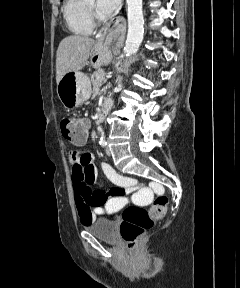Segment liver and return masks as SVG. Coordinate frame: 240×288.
Segmentation results:
<instances>
[{"label": "liver", "instance_id": "liver-1", "mask_svg": "<svg viewBox=\"0 0 240 288\" xmlns=\"http://www.w3.org/2000/svg\"><path fill=\"white\" fill-rule=\"evenodd\" d=\"M95 40L87 36L71 35L59 44L56 57L57 84L68 72H78L88 64Z\"/></svg>", "mask_w": 240, "mask_h": 288}]
</instances>
